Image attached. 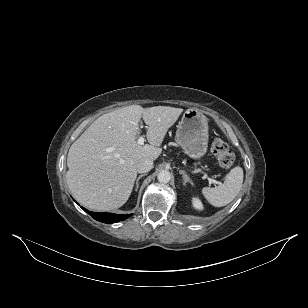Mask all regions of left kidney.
I'll list each match as a JSON object with an SVG mask.
<instances>
[{
    "label": "left kidney",
    "mask_w": 308,
    "mask_h": 308,
    "mask_svg": "<svg viewBox=\"0 0 308 308\" xmlns=\"http://www.w3.org/2000/svg\"><path fill=\"white\" fill-rule=\"evenodd\" d=\"M192 204H193V207L198 209V210H202L203 209V205H202L201 201L198 198H193L192 199Z\"/></svg>",
    "instance_id": "obj_1"
}]
</instances>
